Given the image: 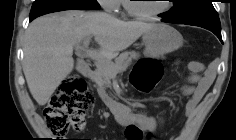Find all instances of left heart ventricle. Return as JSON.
Segmentation results:
<instances>
[{
	"mask_svg": "<svg viewBox=\"0 0 236 140\" xmlns=\"http://www.w3.org/2000/svg\"><path fill=\"white\" fill-rule=\"evenodd\" d=\"M134 7L144 13L155 12L166 6L165 1L161 0H139L133 2Z\"/></svg>",
	"mask_w": 236,
	"mask_h": 140,
	"instance_id": "1",
	"label": "left heart ventricle"
}]
</instances>
